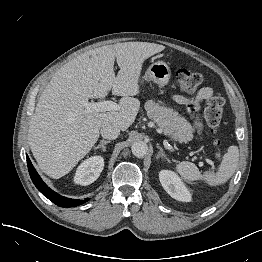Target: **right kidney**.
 <instances>
[{
  "label": "right kidney",
  "instance_id": "obj_1",
  "mask_svg": "<svg viewBox=\"0 0 262 262\" xmlns=\"http://www.w3.org/2000/svg\"><path fill=\"white\" fill-rule=\"evenodd\" d=\"M104 167L101 156H93L84 160L77 168L74 182L83 186L93 183L100 176Z\"/></svg>",
  "mask_w": 262,
  "mask_h": 262
}]
</instances>
